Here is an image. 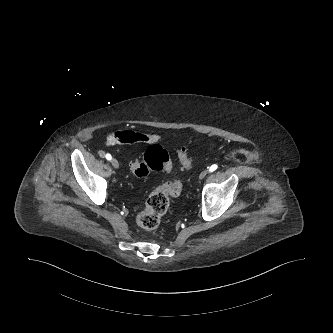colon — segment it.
I'll list each match as a JSON object with an SVG mask.
<instances>
[{"instance_id": "5ec220e1", "label": "colon", "mask_w": 333, "mask_h": 333, "mask_svg": "<svg viewBox=\"0 0 333 333\" xmlns=\"http://www.w3.org/2000/svg\"><path fill=\"white\" fill-rule=\"evenodd\" d=\"M182 169H189L192 161L184 148L177 151ZM131 172L144 177L151 171L164 170L171 174L172 164L167 151L158 144L147 148L142 158H135L129 162ZM182 191V184L179 180L170 177L166 182L156 188L148 197L144 208L137 214L138 226L146 230L155 229L164 214L167 212L170 197H177Z\"/></svg>"}]
</instances>
